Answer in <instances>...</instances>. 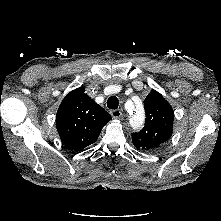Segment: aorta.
I'll use <instances>...</instances> for the list:
<instances>
[{"instance_id": "obj_1", "label": "aorta", "mask_w": 221, "mask_h": 221, "mask_svg": "<svg viewBox=\"0 0 221 221\" xmlns=\"http://www.w3.org/2000/svg\"><path fill=\"white\" fill-rule=\"evenodd\" d=\"M127 114L129 116L130 124L132 126L138 127L142 124L144 115L142 109L139 106L131 104V106L127 110Z\"/></svg>"}]
</instances>
